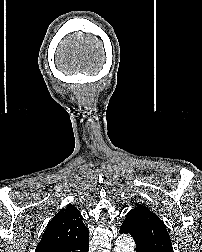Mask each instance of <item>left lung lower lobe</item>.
I'll use <instances>...</instances> for the list:
<instances>
[{"label": "left lung lower lobe", "mask_w": 202, "mask_h": 252, "mask_svg": "<svg viewBox=\"0 0 202 252\" xmlns=\"http://www.w3.org/2000/svg\"><path fill=\"white\" fill-rule=\"evenodd\" d=\"M119 233L120 234L129 233V229L127 227H125V226H121ZM136 252H139V251H136Z\"/></svg>", "instance_id": "obj_1"}]
</instances>
